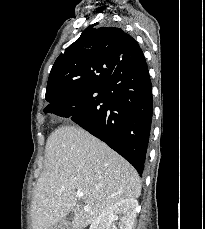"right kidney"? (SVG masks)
Returning <instances> with one entry per match:
<instances>
[{"label": "right kidney", "instance_id": "obj_1", "mask_svg": "<svg viewBox=\"0 0 205 229\" xmlns=\"http://www.w3.org/2000/svg\"><path fill=\"white\" fill-rule=\"evenodd\" d=\"M137 210L136 199L120 200L99 215L89 229H132ZM117 220L118 228L115 226Z\"/></svg>", "mask_w": 205, "mask_h": 229}]
</instances>
